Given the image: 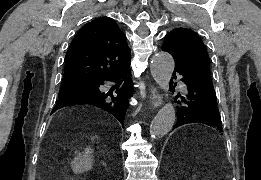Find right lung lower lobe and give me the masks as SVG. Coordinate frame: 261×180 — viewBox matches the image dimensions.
<instances>
[{"instance_id": "98d812e1", "label": "right lung lower lobe", "mask_w": 261, "mask_h": 180, "mask_svg": "<svg viewBox=\"0 0 261 180\" xmlns=\"http://www.w3.org/2000/svg\"><path fill=\"white\" fill-rule=\"evenodd\" d=\"M130 76L129 66L121 71L105 76L97 81V86L92 92L76 93L59 99L52 112L73 104H89L105 109L123 124L128 108V99L132 94ZM121 79L124 83L116 90L115 95L112 92H100L99 86L102 85L105 80L120 82Z\"/></svg>"}]
</instances>
